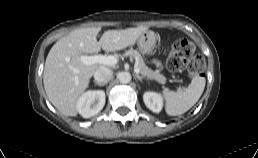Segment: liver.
<instances>
[{
	"label": "liver",
	"instance_id": "liver-1",
	"mask_svg": "<svg viewBox=\"0 0 258 158\" xmlns=\"http://www.w3.org/2000/svg\"><path fill=\"white\" fill-rule=\"evenodd\" d=\"M100 27L80 28L58 40L49 51L44 67L43 83L50 102L62 114L75 116L76 103L88 88L91 77L101 64L86 65L80 57L85 54L122 50L133 45L147 27L108 30L100 40Z\"/></svg>",
	"mask_w": 258,
	"mask_h": 158
}]
</instances>
